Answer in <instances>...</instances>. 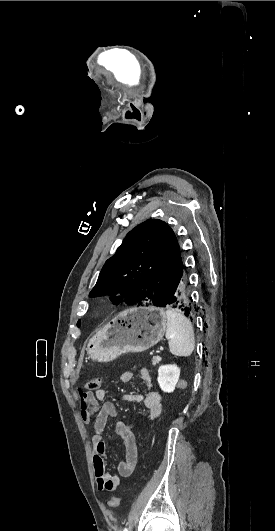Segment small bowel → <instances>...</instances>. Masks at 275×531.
I'll list each match as a JSON object with an SVG mask.
<instances>
[{
	"mask_svg": "<svg viewBox=\"0 0 275 531\" xmlns=\"http://www.w3.org/2000/svg\"><path fill=\"white\" fill-rule=\"evenodd\" d=\"M140 379L144 386V393L129 392L123 395L126 402L142 403L148 413L150 421H155L161 414L162 401L160 394L155 390L154 382L146 368L140 370ZM133 378L131 371L121 374L122 383H129ZM79 389L78 387L76 388ZM106 391L100 389L94 393H84L80 405L81 418L84 424L93 425L92 437V462L96 476L97 487L101 491H114L122 485V479L132 475L138 462V447L133 429L134 424L118 421L115 433L123 440L125 455L118 462L117 473L110 474L106 469V455L108 444L103 437L108 418L117 416V408L111 401H106Z\"/></svg>",
	"mask_w": 275,
	"mask_h": 531,
	"instance_id": "small-bowel-1",
	"label": "small bowel"
}]
</instances>
